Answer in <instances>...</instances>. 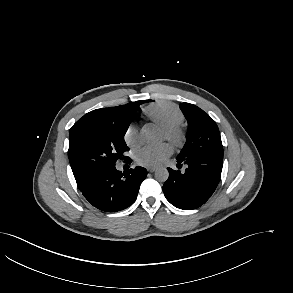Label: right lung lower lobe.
Here are the masks:
<instances>
[{
	"mask_svg": "<svg viewBox=\"0 0 293 293\" xmlns=\"http://www.w3.org/2000/svg\"><path fill=\"white\" fill-rule=\"evenodd\" d=\"M146 176L147 171L143 167L122 173L112 165L99 171L80 191L94 207L105 212H117L135 202Z\"/></svg>",
	"mask_w": 293,
	"mask_h": 293,
	"instance_id": "1",
	"label": "right lung lower lobe"
}]
</instances>
